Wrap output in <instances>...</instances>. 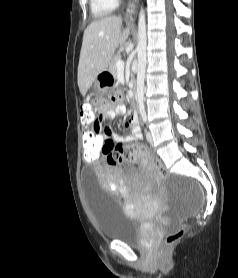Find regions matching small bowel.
I'll return each mask as SVG.
<instances>
[{
  "instance_id": "c3829d8e",
  "label": "small bowel",
  "mask_w": 238,
  "mask_h": 278,
  "mask_svg": "<svg viewBox=\"0 0 238 278\" xmlns=\"http://www.w3.org/2000/svg\"><path fill=\"white\" fill-rule=\"evenodd\" d=\"M110 105L114 104L113 100L109 101ZM126 112V107L123 104H118L115 107H110L108 105L103 106L102 114L100 118L91 126L90 130L88 131H95V136H83L84 137H103L105 141V145L108 143H116L122 144L125 142L137 141L142 138L141 130L139 127V120L137 114H132L129 120L125 124V128L129 130L130 134L128 136H121L118 135L105 125L106 121L113 120L117 117L124 115ZM104 131V134H102ZM84 142V141H83ZM84 147V145H83ZM104 147V146H103ZM85 150V149H84ZM103 150V148H102ZM106 156L105 152L102 153ZM139 164L145 167H151L148 162L142 158H134Z\"/></svg>"
}]
</instances>
